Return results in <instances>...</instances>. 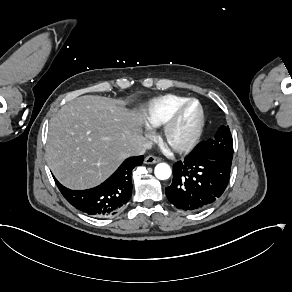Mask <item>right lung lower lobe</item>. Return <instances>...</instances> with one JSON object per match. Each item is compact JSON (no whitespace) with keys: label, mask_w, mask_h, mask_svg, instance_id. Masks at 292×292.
<instances>
[{"label":"right lung lower lobe","mask_w":292,"mask_h":292,"mask_svg":"<svg viewBox=\"0 0 292 292\" xmlns=\"http://www.w3.org/2000/svg\"><path fill=\"white\" fill-rule=\"evenodd\" d=\"M144 156L130 157L102 184L87 190H70L55 182L65 199L76 209L94 217L115 214L132 195V170Z\"/></svg>","instance_id":"right-lung-lower-lobe-1"}]
</instances>
